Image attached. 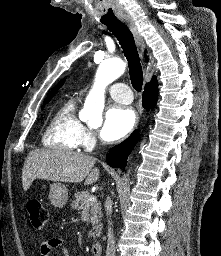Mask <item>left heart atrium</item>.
Masks as SVG:
<instances>
[{"label": "left heart atrium", "mask_w": 221, "mask_h": 256, "mask_svg": "<svg viewBox=\"0 0 221 256\" xmlns=\"http://www.w3.org/2000/svg\"><path fill=\"white\" fill-rule=\"evenodd\" d=\"M135 124V114L132 109L120 105L108 107L100 136L107 142L116 141L128 134Z\"/></svg>", "instance_id": "1"}]
</instances>
